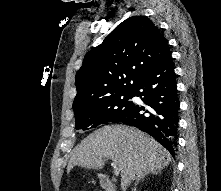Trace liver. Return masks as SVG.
<instances>
[{"instance_id": "1", "label": "liver", "mask_w": 221, "mask_h": 191, "mask_svg": "<svg viewBox=\"0 0 221 191\" xmlns=\"http://www.w3.org/2000/svg\"><path fill=\"white\" fill-rule=\"evenodd\" d=\"M111 159L121 172V187L150 172H158L169 165L171 155L156 140L140 130L128 126H104L77 145L68 163L74 166L102 169Z\"/></svg>"}]
</instances>
